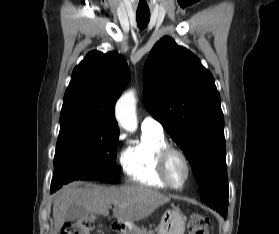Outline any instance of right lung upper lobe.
<instances>
[{"instance_id":"cb5924a9","label":"right lung upper lobe","mask_w":279,"mask_h":234,"mask_svg":"<svg viewBox=\"0 0 279 234\" xmlns=\"http://www.w3.org/2000/svg\"><path fill=\"white\" fill-rule=\"evenodd\" d=\"M129 80L130 72L122 55L115 51L89 52L72 73L61 117H84L100 128L119 130L114 106Z\"/></svg>"}]
</instances>
